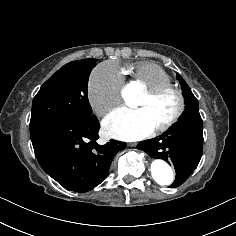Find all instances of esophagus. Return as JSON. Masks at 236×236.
<instances>
[{
  "label": "esophagus",
  "instance_id": "obj_1",
  "mask_svg": "<svg viewBox=\"0 0 236 236\" xmlns=\"http://www.w3.org/2000/svg\"><path fill=\"white\" fill-rule=\"evenodd\" d=\"M129 145L132 147H135L137 145V143H130Z\"/></svg>",
  "mask_w": 236,
  "mask_h": 236
}]
</instances>
